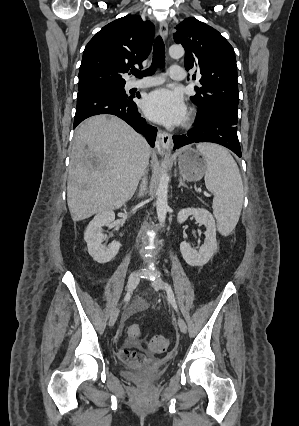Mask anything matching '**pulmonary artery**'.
Segmentation results:
<instances>
[{
  "label": "pulmonary artery",
  "mask_w": 299,
  "mask_h": 426,
  "mask_svg": "<svg viewBox=\"0 0 299 426\" xmlns=\"http://www.w3.org/2000/svg\"><path fill=\"white\" fill-rule=\"evenodd\" d=\"M168 76L172 80L181 81L185 77L184 76V70L178 65H173L169 69ZM165 79H166V75H164V74L146 77L142 80L134 81L131 84V87L145 88V87L156 86V85L163 83L165 81Z\"/></svg>",
  "instance_id": "e3ab8cb5"
}]
</instances>
